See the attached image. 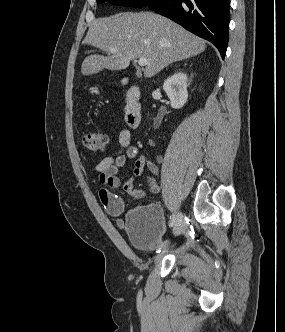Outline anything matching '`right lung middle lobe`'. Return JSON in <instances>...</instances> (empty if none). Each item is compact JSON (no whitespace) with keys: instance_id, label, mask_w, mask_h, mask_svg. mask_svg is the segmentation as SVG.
<instances>
[{"instance_id":"right-lung-middle-lobe-1","label":"right lung middle lobe","mask_w":285,"mask_h":332,"mask_svg":"<svg viewBox=\"0 0 285 332\" xmlns=\"http://www.w3.org/2000/svg\"><path fill=\"white\" fill-rule=\"evenodd\" d=\"M105 1H110L112 4L122 5V6H132V7H143L147 6L153 0H97L98 3H103Z\"/></svg>"}]
</instances>
